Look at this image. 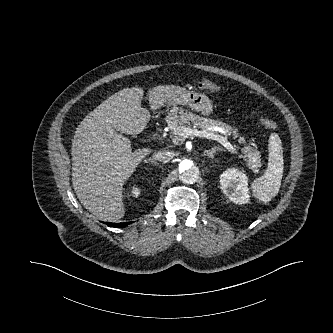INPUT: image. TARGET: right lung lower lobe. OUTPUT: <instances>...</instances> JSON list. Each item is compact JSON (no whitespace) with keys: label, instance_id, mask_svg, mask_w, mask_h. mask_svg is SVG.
I'll list each match as a JSON object with an SVG mask.
<instances>
[{"label":"right lung lower lobe","instance_id":"1","mask_svg":"<svg viewBox=\"0 0 333 333\" xmlns=\"http://www.w3.org/2000/svg\"><path fill=\"white\" fill-rule=\"evenodd\" d=\"M109 227H118V228H121V227H125L126 225L129 224V222H126V223H106Z\"/></svg>","mask_w":333,"mask_h":333}]
</instances>
